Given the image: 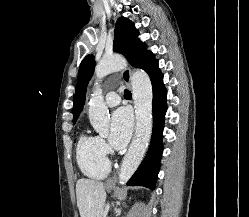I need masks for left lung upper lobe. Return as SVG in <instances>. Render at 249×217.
Returning a JSON list of instances; mask_svg holds the SVG:
<instances>
[{
  "label": "left lung upper lobe",
  "instance_id": "1",
  "mask_svg": "<svg viewBox=\"0 0 249 217\" xmlns=\"http://www.w3.org/2000/svg\"><path fill=\"white\" fill-rule=\"evenodd\" d=\"M138 30L134 23L124 17L116 21L114 35V50L124 55L135 68H141L147 73L154 68L158 61L154 55L146 50L137 36ZM95 68L94 55H87L80 64L78 73V94L83 107L86 96V88Z\"/></svg>",
  "mask_w": 249,
  "mask_h": 217
}]
</instances>
